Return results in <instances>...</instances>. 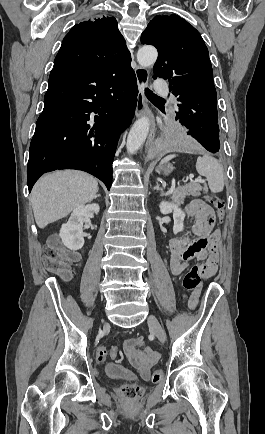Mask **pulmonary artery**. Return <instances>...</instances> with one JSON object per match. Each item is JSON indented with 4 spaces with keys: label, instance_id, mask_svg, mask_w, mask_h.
Returning a JSON list of instances; mask_svg holds the SVG:
<instances>
[{
    "label": "pulmonary artery",
    "instance_id": "pulmonary-artery-1",
    "mask_svg": "<svg viewBox=\"0 0 265 434\" xmlns=\"http://www.w3.org/2000/svg\"><path fill=\"white\" fill-rule=\"evenodd\" d=\"M153 80H154V82H155V83L159 84V83H161V82H162V80H163V79H162V77H161V76L157 75V76H155V77H154V79H153Z\"/></svg>",
    "mask_w": 265,
    "mask_h": 434
}]
</instances>
